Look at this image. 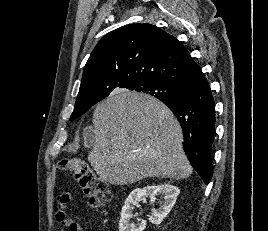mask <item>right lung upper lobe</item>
Returning <instances> with one entry per match:
<instances>
[{
	"mask_svg": "<svg viewBox=\"0 0 268 231\" xmlns=\"http://www.w3.org/2000/svg\"><path fill=\"white\" fill-rule=\"evenodd\" d=\"M203 76L174 36L151 24H130L98 42L84 67L76 104L97 103L113 90L145 82L180 88Z\"/></svg>",
	"mask_w": 268,
	"mask_h": 231,
	"instance_id": "right-lung-upper-lobe-1",
	"label": "right lung upper lobe"
}]
</instances>
